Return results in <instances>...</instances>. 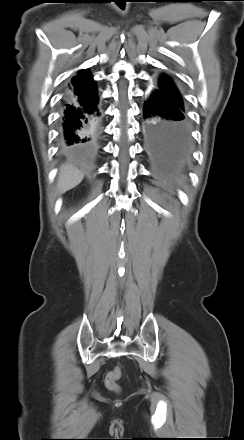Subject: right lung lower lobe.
Here are the masks:
<instances>
[{
  "label": "right lung lower lobe",
  "mask_w": 244,
  "mask_h": 440,
  "mask_svg": "<svg viewBox=\"0 0 244 440\" xmlns=\"http://www.w3.org/2000/svg\"><path fill=\"white\" fill-rule=\"evenodd\" d=\"M98 102L97 94L86 99L65 98L59 125L62 149L77 150L97 137L101 122Z\"/></svg>",
  "instance_id": "right-lung-lower-lobe-1"
}]
</instances>
